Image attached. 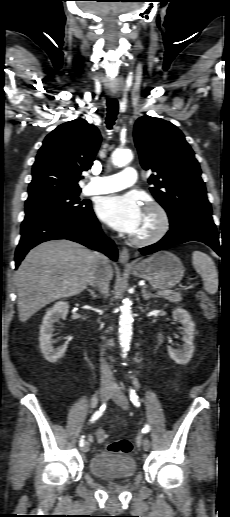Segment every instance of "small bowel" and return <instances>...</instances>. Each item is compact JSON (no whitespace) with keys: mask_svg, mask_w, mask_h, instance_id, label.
Returning <instances> with one entry per match:
<instances>
[{"mask_svg":"<svg viewBox=\"0 0 230 517\" xmlns=\"http://www.w3.org/2000/svg\"><path fill=\"white\" fill-rule=\"evenodd\" d=\"M99 430H102V429H98V430L96 431V434H97V432H98Z\"/></svg>","mask_w":230,"mask_h":517,"instance_id":"obj_1","label":"small bowel"}]
</instances>
